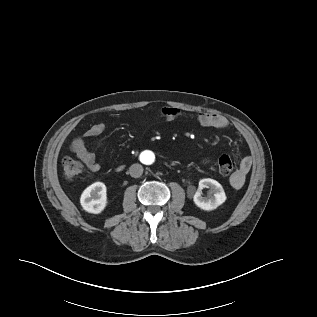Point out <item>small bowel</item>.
I'll return each instance as SVG.
<instances>
[{"label":"small bowel","mask_w":317,"mask_h":317,"mask_svg":"<svg viewBox=\"0 0 317 317\" xmlns=\"http://www.w3.org/2000/svg\"><path fill=\"white\" fill-rule=\"evenodd\" d=\"M181 115L178 108L175 107H163L160 110V116L167 120L172 121L177 119ZM198 122L205 127L226 129L228 127L227 119L214 112H201L198 117ZM105 129L102 123L93 124L83 136L76 137L71 145V151L85 164V166L92 172H97L100 170L101 166L96 160L95 154L91 151L85 142V138L95 137L100 135ZM209 162V160H206ZM252 160L249 156H244L240 162L239 170L233 174L230 178L231 185L234 188H240L245 182L246 175L251 168Z\"/></svg>","instance_id":"small-bowel-1"}]
</instances>
